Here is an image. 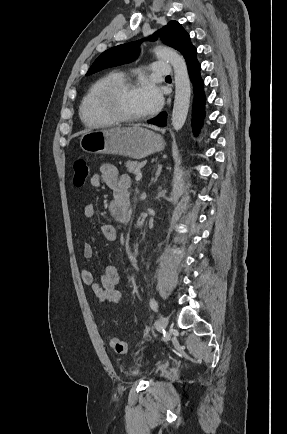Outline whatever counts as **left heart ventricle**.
Segmentation results:
<instances>
[{
  "mask_svg": "<svg viewBox=\"0 0 287 434\" xmlns=\"http://www.w3.org/2000/svg\"><path fill=\"white\" fill-rule=\"evenodd\" d=\"M119 107L123 114L128 116H141L146 114L138 97L137 88L126 90L119 99Z\"/></svg>",
  "mask_w": 287,
  "mask_h": 434,
  "instance_id": "left-heart-ventricle-1",
  "label": "left heart ventricle"
}]
</instances>
